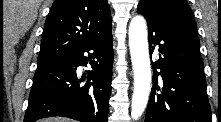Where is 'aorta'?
<instances>
[{
  "label": "aorta",
  "mask_w": 221,
  "mask_h": 122,
  "mask_svg": "<svg viewBox=\"0 0 221 122\" xmlns=\"http://www.w3.org/2000/svg\"><path fill=\"white\" fill-rule=\"evenodd\" d=\"M129 48L134 72L131 117L137 120L146 108L152 80L147 25L142 16H135L130 22Z\"/></svg>",
  "instance_id": "aorta-1"
}]
</instances>
